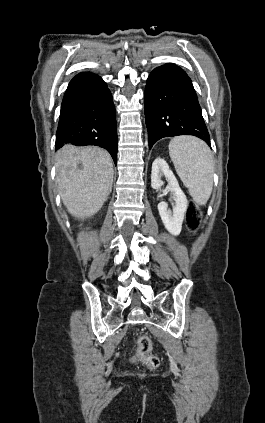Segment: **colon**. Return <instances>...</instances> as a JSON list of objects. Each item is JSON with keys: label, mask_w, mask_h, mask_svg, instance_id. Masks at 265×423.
<instances>
[{"label": "colon", "mask_w": 265, "mask_h": 423, "mask_svg": "<svg viewBox=\"0 0 265 423\" xmlns=\"http://www.w3.org/2000/svg\"><path fill=\"white\" fill-rule=\"evenodd\" d=\"M202 216L200 210L193 202H189L187 210V226L191 232H197L201 227ZM152 345L150 339L143 335L139 338V356L144 359L145 363L154 368L158 366L159 359L157 356L149 355Z\"/></svg>", "instance_id": "colon-1"}]
</instances>
